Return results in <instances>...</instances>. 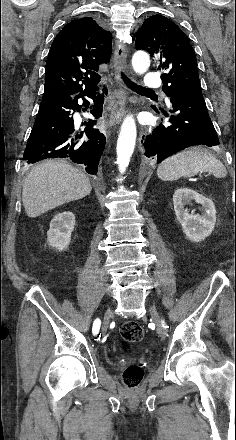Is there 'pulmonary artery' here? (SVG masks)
Here are the masks:
<instances>
[{
    "mask_svg": "<svg viewBox=\"0 0 236 440\" xmlns=\"http://www.w3.org/2000/svg\"><path fill=\"white\" fill-rule=\"evenodd\" d=\"M162 81L158 74L156 73H149L147 74V77L144 80L143 86L146 89H154L159 88Z\"/></svg>",
    "mask_w": 236,
    "mask_h": 440,
    "instance_id": "pulmonary-artery-1",
    "label": "pulmonary artery"
}]
</instances>
